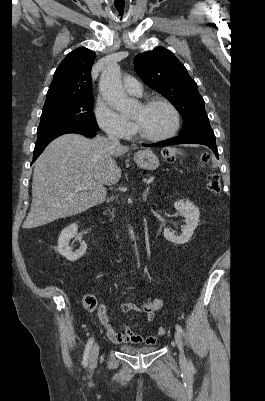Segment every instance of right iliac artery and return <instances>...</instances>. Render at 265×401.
<instances>
[{"label": "right iliac artery", "instance_id": "1", "mask_svg": "<svg viewBox=\"0 0 265 401\" xmlns=\"http://www.w3.org/2000/svg\"><path fill=\"white\" fill-rule=\"evenodd\" d=\"M93 342H94V339H93V337H91L88 339L87 344L85 346V351H84L83 360H82V364L84 367H87V365H88L89 355H90V352L92 349Z\"/></svg>", "mask_w": 265, "mask_h": 401}]
</instances>
